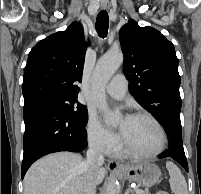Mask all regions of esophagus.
Listing matches in <instances>:
<instances>
[{
    "mask_svg": "<svg viewBox=\"0 0 201 194\" xmlns=\"http://www.w3.org/2000/svg\"><path fill=\"white\" fill-rule=\"evenodd\" d=\"M109 4L107 2H104L101 4V9H108ZM107 167L109 170H117L121 168V164L115 160L108 161Z\"/></svg>",
    "mask_w": 201,
    "mask_h": 194,
    "instance_id": "esophagus-1",
    "label": "esophagus"
}]
</instances>
